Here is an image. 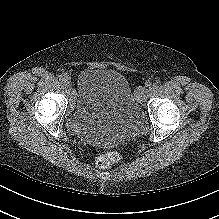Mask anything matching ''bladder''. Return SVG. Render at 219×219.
Returning <instances> with one entry per match:
<instances>
[{"instance_id":"bladder-1","label":"bladder","mask_w":219,"mask_h":219,"mask_svg":"<svg viewBox=\"0 0 219 219\" xmlns=\"http://www.w3.org/2000/svg\"><path fill=\"white\" fill-rule=\"evenodd\" d=\"M67 129L79 136L97 134L108 144L146 130L142 107L127 79L117 71L88 68L77 81L76 101Z\"/></svg>"}]
</instances>
